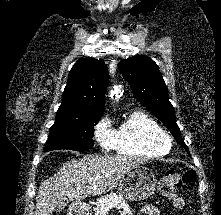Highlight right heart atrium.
Segmentation results:
<instances>
[{
    "instance_id": "1",
    "label": "right heart atrium",
    "mask_w": 221,
    "mask_h": 215,
    "mask_svg": "<svg viewBox=\"0 0 221 215\" xmlns=\"http://www.w3.org/2000/svg\"><path fill=\"white\" fill-rule=\"evenodd\" d=\"M94 137L103 150H110L114 146L115 128L108 115L102 116L94 128Z\"/></svg>"
}]
</instances>
